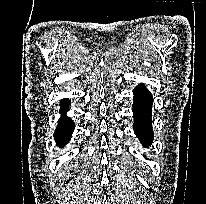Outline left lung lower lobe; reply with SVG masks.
<instances>
[{"label": "left lung lower lobe", "mask_w": 206, "mask_h": 204, "mask_svg": "<svg viewBox=\"0 0 206 204\" xmlns=\"http://www.w3.org/2000/svg\"><path fill=\"white\" fill-rule=\"evenodd\" d=\"M133 92L134 132L140 142L148 147L152 144L154 138L151 125L152 96L143 84L136 87Z\"/></svg>", "instance_id": "obj_1"}]
</instances>
